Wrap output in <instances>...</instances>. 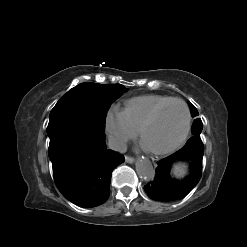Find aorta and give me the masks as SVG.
I'll list each match as a JSON object with an SVG mask.
<instances>
[{"label":"aorta","instance_id":"1","mask_svg":"<svg viewBox=\"0 0 247 247\" xmlns=\"http://www.w3.org/2000/svg\"><path fill=\"white\" fill-rule=\"evenodd\" d=\"M138 176L144 181H152L155 177V169L148 159H139L136 162Z\"/></svg>","mask_w":247,"mask_h":247}]
</instances>
